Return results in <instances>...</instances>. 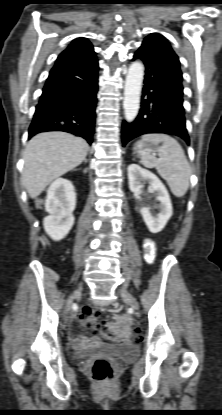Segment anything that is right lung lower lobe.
<instances>
[{
	"label": "right lung lower lobe",
	"mask_w": 222,
	"mask_h": 415,
	"mask_svg": "<svg viewBox=\"0 0 222 415\" xmlns=\"http://www.w3.org/2000/svg\"><path fill=\"white\" fill-rule=\"evenodd\" d=\"M98 91V60L95 54L58 58L46 80L29 139L37 133L64 131L92 143Z\"/></svg>",
	"instance_id": "1"
}]
</instances>
